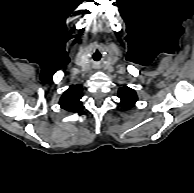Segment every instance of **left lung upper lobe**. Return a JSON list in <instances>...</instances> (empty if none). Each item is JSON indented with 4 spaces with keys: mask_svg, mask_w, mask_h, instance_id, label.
<instances>
[{
    "mask_svg": "<svg viewBox=\"0 0 194 193\" xmlns=\"http://www.w3.org/2000/svg\"><path fill=\"white\" fill-rule=\"evenodd\" d=\"M118 97L121 100L119 105L125 110L132 108L137 101L136 92L127 86L119 89Z\"/></svg>",
    "mask_w": 194,
    "mask_h": 193,
    "instance_id": "5c2ea615",
    "label": "left lung upper lobe"
}]
</instances>
